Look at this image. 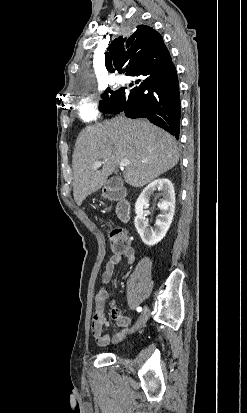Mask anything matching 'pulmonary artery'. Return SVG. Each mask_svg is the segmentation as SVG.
I'll return each mask as SVG.
<instances>
[{
  "label": "pulmonary artery",
  "instance_id": "e3ab8cb5",
  "mask_svg": "<svg viewBox=\"0 0 247 413\" xmlns=\"http://www.w3.org/2000/svg\"><path fill=\"white\" fill-rule=\"evenodd\" d=\"M126 77L124 75L113 74L109 79V84L115 88H120L126 83Z\"/></svg>",
  "mask_w": 247,
  "mask_h": 413
}]
</instances>
